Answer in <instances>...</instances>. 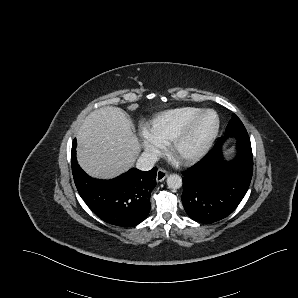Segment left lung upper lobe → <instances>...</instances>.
Listing matches in <instances>:
<instances>
[{"label":"left lung upper lobe","instance_id":"5c2ea615","mask_svg":"<svg viewBox=\"0 0 298 298\" xmlns=\"http://www.w3.org/2000/svg\"><path fill=\"white\" fill-rule=\"evenodd\" d=\"M244 128L245 127L243 123L240 121V119L235 114H233L231 120L227 125L226 132H231L234 130L244 129Z\"/></svg>","mask_w":298,"mask_h":298}]
</instances>
